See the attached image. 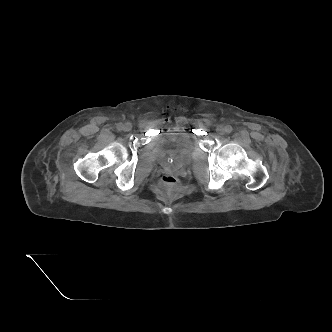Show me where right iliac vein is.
Returning <instances> with one entry per match:
<instances>
[{"label": "right iliac vein", "instance_id": "right-iliac-vein-1", "mask_svg": "<svg viewBox=\"0 0 332 332\" xmlns=\"http://www.w3.org/2000/svg\"><path fill=\"white\" fill-rule=\"evenodd\" d=\"M122 129L125 131V132H128L132 129V125L131 123L127 122L125 123L123 126H122Z\"/></svg>", "mask_w": 332, "mask_h": 332}]
</instances>
